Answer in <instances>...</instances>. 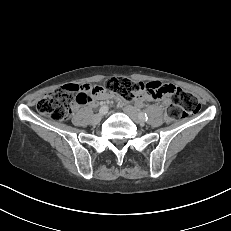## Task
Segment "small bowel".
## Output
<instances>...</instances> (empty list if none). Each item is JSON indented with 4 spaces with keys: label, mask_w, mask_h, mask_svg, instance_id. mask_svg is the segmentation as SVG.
Here are the masks:
<instances>
[{
    "label": "small bowel",
    "mask_w": 231,
    "mask_h": 231,
    "mask_svg": "<svg viewBox=\"0 0 231 231\" xmlns=\"http://www.w3.org/2000/svg\"><path fill=\"white\" fill-rule=\"evenodd\" d=\"M174 88L175 87L172 84H162L161 92H156L147 88L134 99V103L138 106H142L146 101H159L166 104L168 103ZM81 90L89 96L88 101L84 103L87 105L95 106L98 104V100L108 101L115 97L113 94L108 93L97 86L91 87L89 85H83Z\"/></svg>",
    "instance_id": "1"
}]
</instances>
